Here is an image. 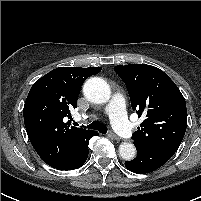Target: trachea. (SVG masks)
Here are the masks:
<instances>
[{"mask_svg": "<svg viewBox=\"0 0 201 201\" xmlns=\"http://www.w3.org/2000/svg\"><path fill=\"white\" fill-rule=\"evenodd\" d=\"M89 129L98 130L102 134H106L108 129L107 126L99 121H94L87 126Z\"/></svg>", "mask_w": 201, "mask_h": 201, "instance_id": "3493384b", "label": "trachea"}]
</instances>
